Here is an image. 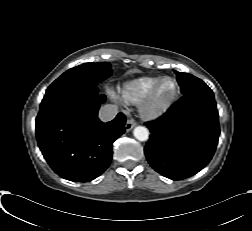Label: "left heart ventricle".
I'll return each instance as SVG.
<instances>
[{
  "label": "left heart ventricle",
  "mask_w": 252,
  "mask_h": 231,
  "mask_svg": "<svg viewBox=\"0 0 252 231\" xmlns=\"http://www.w3.org/2000/svg\"><path fill=\"white\" fill-rule=\"evenodd\" d=\"M173 91V83L171 81H165L159 91L158 100L163 102L171 95Z\"/></svg>",
  "instance_id": "left-heart-ventricle-1"
}]
</instances>
